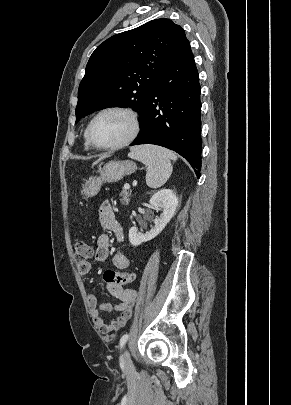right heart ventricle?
Instances as JSON below:
<instances>
[{
	"label": "right heart ventricle",
	"mask_w": 291,
	"mask_h": 405,
	"mask_svg": "<svg viewBox=\"0 0 291 405\" xmlns=\"http://www.w3.org/2000/svg\"><path fill=\"white\" fill-rule=\"evenodd\" d=\"M84 147L86 150H90V146L88 145V143L86 141L85 133H84Z\"/></svg>",
	"instance_id": "e07e8e85"
}]
</instances>
